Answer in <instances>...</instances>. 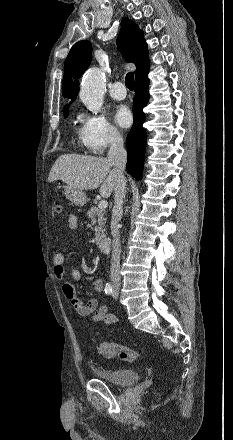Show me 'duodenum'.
<instances>
[{
  "label": "duodenum",
  "mask_w": 233,
  "mask_h": 440,
  "mask_svg": "<svg viewBox=\"0 0 233 440\" xmlns=\"http://www.w3.org/2000/svg\"><path fill=\"white\" fill-rule=\"evenodd\" d=\"M99 247L103 252H108L111 247V240L109 238L99 239Z\"/></svg>",
  "instance_id": "duodenum-1"
}]
</instances>
